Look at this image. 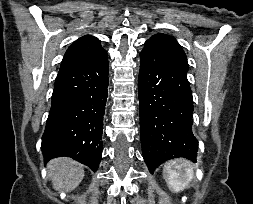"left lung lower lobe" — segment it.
<instances>
[{"label":"left lung lower lobe","instance_id":"left-lung-lower-lobe-1","mask_svg":"<svg viewBox=\"0 0 253 204\" xmlns=\"http://www.w3.org/2000/svg\"><path fill=\"white\" fill-rule=\"evenodd\" d=\"M140 60L138 95L145 163L152 173L175 157L196 162L198 141L192 132L193 97L188 69L157 48L145 47Z\"/></svg>","mask_w":253,"mask_h":204}]
</instances>
